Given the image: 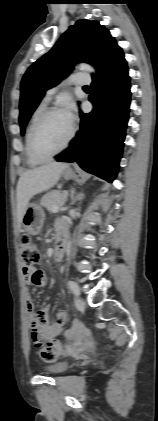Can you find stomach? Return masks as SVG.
Instances as JSON below:
<instances>
[{
  "mask_svg": "<svg viewBox=\"0 0 158 421\" xmlns=\"http://www.w3.org/2000/svg\"><path fill=\"white\" fill-rule=\"evenodd\" d=\"M62 174L66 180L82 177V173L80 171H74L71 168H66ZM44 217V211L39 205L35 203H28L22 217V225L25 231L31 235H37L43 226Z\"/></svg>",
  "mask_w": 158,
  "mask_h": 421,
  "instance_id": "stomach-1",
  "label": "stomach"
}]
</instances>
